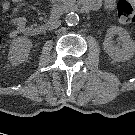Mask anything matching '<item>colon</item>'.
I'll return each instance as SVG.
<instances>
[{"mask_svg":"<svg viewBox=\"0 0 135 135\" xmlns=\"http://www.w3.org/2000/svg\"><path fill=\"white\" fill-rule=\"evenodd\" d=\"M117 17L123 24L135 23V8L126 0H119L116 5ZM2 39L0 37V49Z\"/></svg>","mask_w":135,"mask_h":135,"instance_id":"5ec220e1","label":"colon"}]
</instances>
